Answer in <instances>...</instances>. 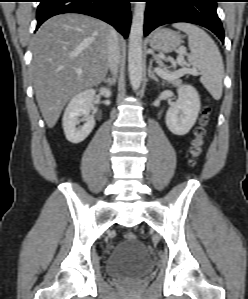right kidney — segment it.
Returning a JSON list of instances; mask_svg holds the SVG:
<instances>
[{
	"label": "right kidney",
	"mask_w": 248,
	"mask_h": 299,
	"mask_svg": "<svg viewBox=\"0 0 248 299\" xmlns=\"http://www.w3.org/2000/svg\"><path fill=\"white\" fill-rule=\"evenodd\" d=\"M99 94L109 98L111 91L105 87L99 89ZM96 95L95 89L84 90L72 97L63 115V130L68 141L78 144L85 140L95 126V120L90 115L93 101ZM82 117L81 119H79ZM80 122L82 126L77 127Z\"/></svg>",
	"instance_id": "right-kidney-1"
}]
</instances>
